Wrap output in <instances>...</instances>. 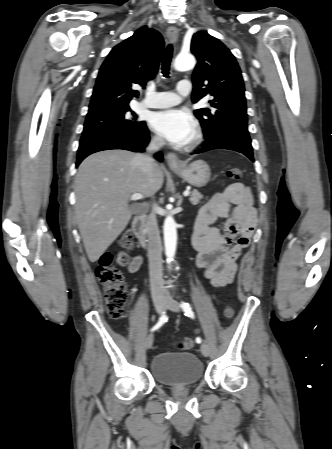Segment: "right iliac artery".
Instances as JSON below:
<instances>
[{
	"label": "right iliac artery",
	"mask_w": 332,
	"mask_h": 449,
	"mask_svg": "<svg viewBox=\"0 0 332 449\" xmlns=\"http://www.w3.org/2000/svg\"><path fill=\"white\" fill-rule=\"evenodd\" d=\"M167 321V315L164 312L161 317L159 318L158 322L156 323V325H154V327L151 329V331L157 330L159 329L165 322Z\"/></svg>",
	"instance_id": "obj_1"
}]
</instances>
